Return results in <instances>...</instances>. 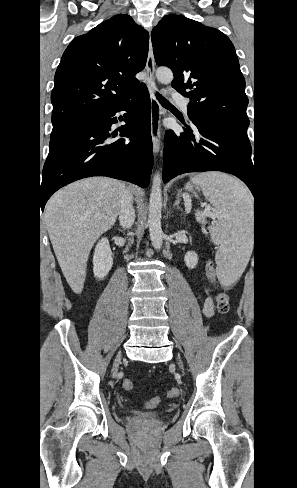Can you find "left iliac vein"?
<instances>
[{"instance_id": "left-iliac-vein-1", "label": "left iliac vein", "mask_w": 297, "mask_h": 488, "mask_svg": "<svg viewBox=\"0 0 297 488\" xmlns=\"http://www.w3.org/2000/svg\"><path fill=\"white\" fill-rule=\"evenodd\" d=\"M180 367L183 368L182 364H180Z\"/></svg>"}]
</instances>
